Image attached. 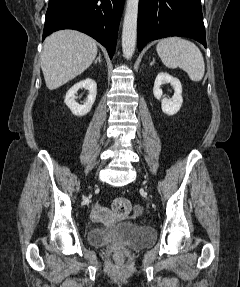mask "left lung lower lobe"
<instances>
[{"label": "left lung lower lobe", "instance_id": "1", "mask_svg": "<svg viewBox=\"0 0 240 287\" xmlns=\"http://www.w3.org/2000/svg\"><path fill=\"white\" fill-rule=\"evenodd\" d=\"M168 36L190 37L206 47L200 0H139L138 50Z\"/></svg>", "mask_w": 240, "mask_h": 287}]
</instances>
